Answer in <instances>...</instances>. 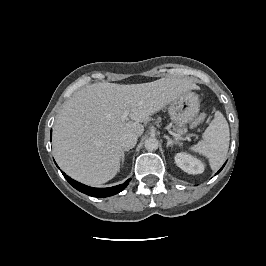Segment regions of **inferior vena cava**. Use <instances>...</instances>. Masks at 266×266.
Returning <instances> with one entry per match:
<instances>
[{
    "instance_id": "inferior-vena-cava-1",
    "label": "inferior vena cava",
    "mask_w": 266,
    "mask_h": 266,
    "mask_svg": "<svg viewBox=\"0 0 266 266\" xmlns=\"http://www.w3.org/2000/svg\"><path fill=\"white\" fill-rule=\"evenodd\" d=\"M138 136L133 133L124 134L121 138V146L124 150L133 148L137 143Z\"/></svg>"
}]
</instances>
